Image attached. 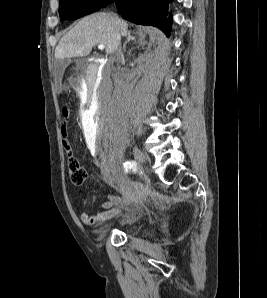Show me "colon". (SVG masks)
I'll return each instance as SVG.
<instances>
[{
	"instance_id": "obj_1",
	"label": "colon",
	"mask_w": 267,
	"mask_h": 298,
	"mask_svg": "<svg viewBox=\"0 0 267 298\" xmlns=\"http://www.w3.org/2000/svg\"><path fill=\"white\" fill-rule=\"evenodd\" d=\"M65 147L69 149V146L67 144H65ZM68 171L72 184L76 186L84 184L87 178L86 169L83 167L80 161L73 156H69L68 158Z\"/></svg>"
}]
</instances>
